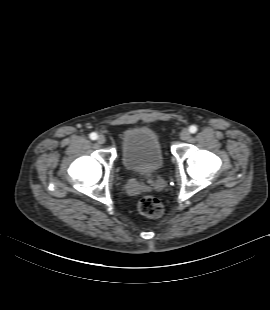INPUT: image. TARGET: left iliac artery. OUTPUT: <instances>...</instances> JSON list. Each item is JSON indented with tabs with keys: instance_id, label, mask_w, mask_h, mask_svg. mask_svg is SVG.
<instances>
[{
	"instance_id": "left-iliac-artery-1",
	"label": "left iliac artery",
	"mask_w": 270,
	"mask_h": 310,
	"mask_svg": "<svg viewBox=\"0 0 270 310\" xmlns=\"http://www.w3.org/2000/svg\"><path fill=\"white\" fill-rule=\"evenodd\" d=\"M189 131L191 133H196L197 132V127L195 125H192V126L189 127Z\"/></svg>"
}]
</instances>
